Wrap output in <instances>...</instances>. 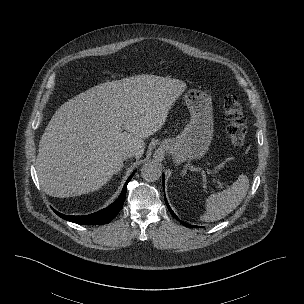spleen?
I'll use <instances>...</instances> for the list:
<instances>
[{
	"mask_svg": "<svg viewBox=\"0 0 304 304\" xmlns=\"http://www.w3.org/2000/svg\"><path fill=\"white\" fill-rule=\"evenodd\" d=\"M248 188V177L242 174L230 188L211 194L206 201L207 211L202 216V220L213 222L227 216L243 201Z\"/></svg>",
	"mask_w": 304,
	"mask_h": 304,
	"instance_id": "obj_1",
	"label": "spleen"
}]
</instances>
